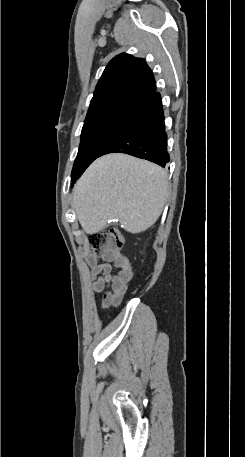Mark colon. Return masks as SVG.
Masks as SVG:
<instances>
[{
  "label": "colon",
  "mask_w": 245,
  "mask_h": 457,
  "mask_svg": "<svg viewBox=\"0 0 245 457\" xmlns=\"http://www.w3.org/2000/svg\"><path fill=\"white\" fill-rule=\"evenodd\" d=\"M125 244V236L117 226H110L89 237V245L98 256L117 253Z\"/></svg>",
  "instance_id": "colon-1"
}]
</instances>
